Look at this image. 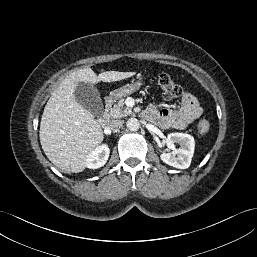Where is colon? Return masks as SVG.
Listing matches in <instances>:
<instances>
[{"mask_svg":"<svg viewBox=\"0 0 257 257\" xmlns=\"http://www.w3.org/2000/svg\"><path fill=\"white\" fill-rule=\"evenodd\" d=\"M157 78L160 91L166 99L176 98L181 95V87L175 83L167 73L160 72L158 73ZM209 128L210 125L206 120H202L198 124V130L200 133L208 132Z\"/></svg>","mask_w":257,"mask_h":257,"instance_id":"obj_1","label":"colon"}]
</instances>
